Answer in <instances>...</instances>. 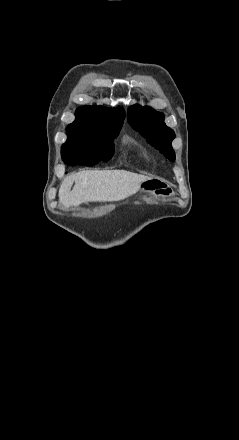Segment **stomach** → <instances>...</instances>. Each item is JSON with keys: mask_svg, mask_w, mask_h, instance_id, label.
Instances as JSON below:
<instances>
[{"mask_svg": "<svg viewBox=\"0 0 239 440\" xmlns=\"http://www.w3.org/2000/svg\"><path fill=\"white\" fill-rule=\"evenodd\" d=\"M143 190H145V192H148V190H150L149 186H144Z\"/></svg>", "mask_w": 239, "mask_h": 440, "instance_id": "stomach-1", "label": "stomach"}]
</instances>
